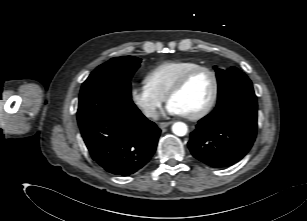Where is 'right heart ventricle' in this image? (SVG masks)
<instances>
[{"label": "right heart ventricle", "mask_w": 307, "mask_h": 221, "mask_svg": "<svg viewBox=\"0 0 307 221\" xmlns=\"http://www.w3.org/2000/svg\"><path fill=\"white\" fill-rule=\"evenodd\" d=\"M199 65L198 62L190 60L165 61L145 75L144 83L151 91L165 98L181 75Z\"/></svg>", "instance_id": "e07e8e85"}]
</instances>
